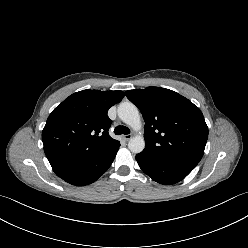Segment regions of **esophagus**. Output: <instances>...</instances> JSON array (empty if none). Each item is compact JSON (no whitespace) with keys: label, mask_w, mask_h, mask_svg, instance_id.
<instances>
[{"label":"esophagus","mask_w":248,"mask_h":248,"mask_svg":"<svg viewBox=\"0 0 248 248\" xmlns=\"http://www.w3.org/2000/svg\"><path fill=\"white\" fill-rule=\"evenodd\" d=\"M132 138V135L131 134H127V135H124L123 136V139L125 140V141H128V140H130Z\"/></svg>","instance_id":"obj_1"}]
</instances>
